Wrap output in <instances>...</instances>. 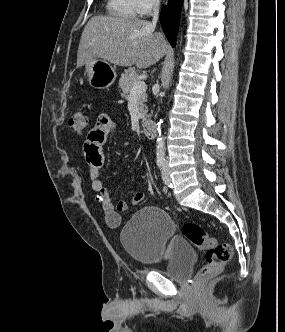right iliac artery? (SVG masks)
I'll use <instances>...</instances> for the list:
<instances>
[{
  "mask_svg": "<svg viewBox=\"0 0 285 332\" xmlns=\"http://www.w3.org/2000/svg\"><path fill=\"white\" fill-rule=\"evenodd\" d=\"M157 166H158L159 169H162L163 166H164V161L163 160H158L157 161Z\"/></svg>",
  "mask_w": 285,
  "mask_h": 332,
  "instance_id": "obj_1",
  "label": "right iliac artery"
}]
</instances>
